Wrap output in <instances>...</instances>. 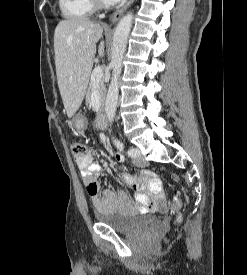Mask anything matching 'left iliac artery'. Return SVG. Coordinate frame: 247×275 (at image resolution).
I'll return each instance as SVG.
<instances>
[{
	"label": "left iliac artery",
	"instance_id": "obj_1",
	"mask_svg": "<svg viewBox=\"0 0 247 275\" xmlns=\"http://www.w3.org/2000/svg\"><path fill=\"white\" fill-rule=\"evenodd\" d=\"M117 149H119L120 151H124V145L121 141L119 140H115L114 141ZM126 154L129 156V157H136V152L130 148L129 150H127Z\"/></svg>",
	"mask_w": 247,
	"mask_h": 275
}]
</instances>
